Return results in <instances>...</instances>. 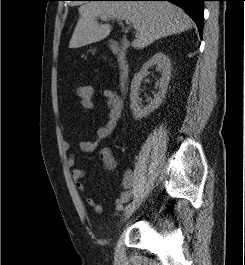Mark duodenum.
Here are the masks:
<instances>
[{"mask_svg":"<svg viewBox=\"0 0 245 265\" xmlns=\"http://www.w3.org/2000/svg\"><path fill=\"white\" fill-rule=\"evenodd\" d=\"M111 51L115 55L118 66V80L122 89H125L128 83L130 66L125 47L118 42L111 44Z\"/></svg>","mask_w":245,"mask_h":265,"instance_id":"410a0bca","label":"duodenum"}]
</instances>
